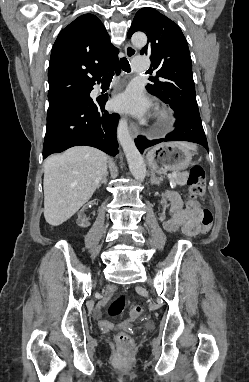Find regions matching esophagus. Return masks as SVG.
Returning <instances> with one entry per match:
<instances>
[{
	"mask_svg": "<svg viewBox=\"0 0 249 382\" xmlns=\"http://www.w3.org/2000/svg\"><path fill=\"white\" fill-rule=\"evenodd\" d=\"M124 50L127 58H133L137 53L136 48L133 47L131 44H126ZM129 129L133 137H136L138 135L139 129L134 122L130 123Z\"/></svg>",
	"mask_w": 249,
	"mask_h": 382,
	"instance_id": "34e87169",
	"label": "esophagus"
}]
</instances>
